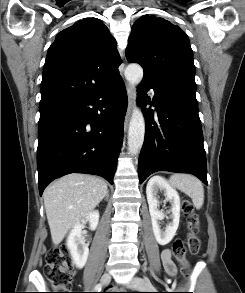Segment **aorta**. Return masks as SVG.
I'll return each instance as SVG.
<instances>
[{"label":"aorta","instance_id":"1","mask_svg":"<svg viewBox=\"0 0 245 293\" xmlns=\"http://www.w3.org/2000/svg\"><path fill=\"white\" fill-rule=\"evenodd\" d=\"M125 78L133 85L137 86L143 79V69L139 64H129L124 71ZM145 136V120L139 108H135L129 124L128 130V150L132 155L138 154Z\"/></svg>","mask_w":245,"mask_h":293}]
</instances>
